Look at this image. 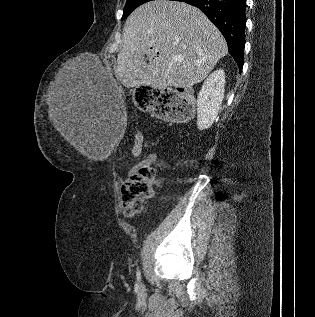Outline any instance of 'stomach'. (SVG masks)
Segmentation results:
<instances>
[{"label":"stomach","instance_id":"1","mask_svg":"<svg viewBox=\"0 0 315 317\" xmlns=\"http://www.w3.org/2000/svg\"><path fill=\"white\" fill-rule=\"evenodd\" d=\"M134 95H159V88H151V84H139V88H134ZM136 104H139L141 111H152L155 97H136Z\"/></svg>","mask_w":315,"mask_h":317}]
</instances>
